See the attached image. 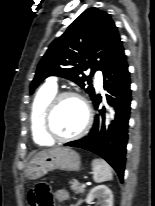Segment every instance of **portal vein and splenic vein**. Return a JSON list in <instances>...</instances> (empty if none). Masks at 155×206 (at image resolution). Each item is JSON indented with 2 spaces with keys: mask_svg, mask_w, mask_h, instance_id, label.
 Returning a JSON list of instances; mask_svg holds the SVG:
<instances>
[{
  "mask_svg": "<svg viewBox=\"0 0 155 206\" xmlns=\"http://www.w3.org/2000/svg\"><path fill=\"white\" fill-rule=\"evenodd\" d=\"M81 187H82V188H85V187H86V185H85V184H82V185H81Z\"/></svg>",
  "mask_w": 155,
  "mask_h": 206,
  "instance_id": "obj_1",
  "label": "portal vein and splenic vein"
}]
</instances>
